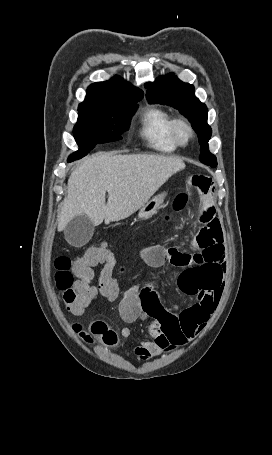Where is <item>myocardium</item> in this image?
<instances>
[{"label":"myocardium","mask_w":272,"mask_h":455,"mask_svg":"<svg viewBox=\"0 0 272 455\" xmlns=\"http://www.w3.org/2000/svg\"><path fill=\"white\" fill-rule=\"evenodd\" d=\"M180 128H185L187 130L188 136L186 139L180 137ZM170 134L178 147H186L193 140L195 135L192 125L183 117L173 118L170 125Z\"/></svg>","instance_id":"1"}]
</instances>
